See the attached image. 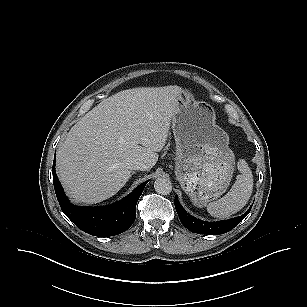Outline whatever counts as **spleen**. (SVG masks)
Segmentation results:
<instances>
[{
	"label": "spleen",
	"mask_w": 307,
	"mask_h": 307,
	"mask_svg": "<svg viewBox=\"0 0 307 307\" xmlns=\"http://www.w3.org/2000/svg\"><path fill=\"white\" fill-rule=\"evenodd\" d=\"M240 175L230 191L218 201L207 205L208 213L217 218H227L240 211L248 202L253 191V175L250 167L244 159L237 163Z\"/></svg>",
	"instance_id": "obj_1"
}]
</instances>
